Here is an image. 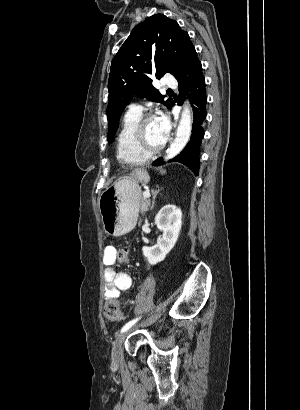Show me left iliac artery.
Returning <instances> with one entry per match:
<instances>
[{
	"mask_svg": "<svg viewBox=\"0 0 300 410\" xmlns=\"http://www.w3.org/2000/svg\"><path fill=\"white\" fill-rule=\"evenodd\" d=\"M139 319H140V317H139V318H136V319H133V320L129 321L128 323H126V324L122 327L121 333H123V332L127 331L129 328H131Z\"/></svg>",
	"mask_w": 300,
	"mask_h": 410,
	"instance_id": "obj_1",
	"label": "left iliac artery"
}]
</instances>
